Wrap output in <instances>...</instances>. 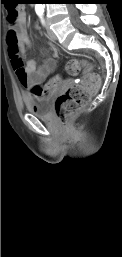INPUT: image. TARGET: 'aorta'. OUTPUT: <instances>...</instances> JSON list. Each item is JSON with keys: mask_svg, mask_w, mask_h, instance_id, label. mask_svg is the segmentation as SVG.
<instances>
[{"mask_svg": "<svg viewBox=\"0 0 122 257\" xmlns=\"http://www.w3.org/2000/svg\"><path fill=\"white\" fill-rule=\"evenodd\" d=\"M45 4H35V11L36 13H43L44 12Z\"/></svg>", "mask_w": 122, "mask_h": 257, "instance_id": "762f6f07", "label": "aorta"}]
</instances>
